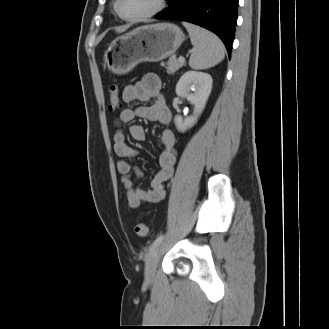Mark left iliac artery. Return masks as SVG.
Masks as SVG:
<instances>
[{"label": "left iliac artery", "mask_w": 329, "mask_h": 329, "mask_svg": "<svg viewBox=\"0 0 329 329\" xmlns=\"http://www.w3.org/2000/svg\"><path fill=\"white\" fill-rule=\"evenodd\" d=\"M163 239H164V235H163V234L160 235V236H158V237L154 240V242L152 243V245H151V247H150V250H153L157 245H159V244L162 242Z\"/></svg>", "instance_id": "1"}]
</instances>
